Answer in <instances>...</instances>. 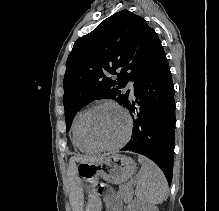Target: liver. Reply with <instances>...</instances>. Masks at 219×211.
Segmentation results:
<instances>
[{
	"mask_svg": "<svg viewBox=\"0 0 219 211\" xmlns=\"http://www.w3.org/2000/svg\"><path fill=\"white\" fill-rule=\"evenodd\" d=\"M81 159H85V161H93V159H96V157H70V167H71V175H72V181H73V191L71 193V203L73 207V211H82L83 207V193L81 191L80 185H78L79 181H75L74 173L73 171L75 165V161H81ZM98 159V157H97ZM78 179V177H76Z\"/></svg>",
	"mask_w": 219,
	"mask_h": 211,
	"instance_id": "obj_1",
	"label": "liver"
}]
</instances>
